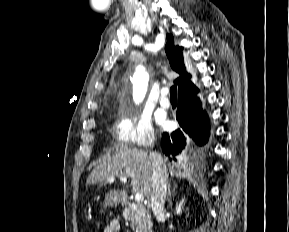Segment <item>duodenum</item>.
<instances>
[{
	"label": "duodenum",
	"instance_id": "410a0bca",
	"mask_svg": "<svg viewBox=\"0 0 289 232\" xmlns=\"http://www.w3.org/2000/svg\"><path fill=\"white\" fill-rule=\"evenodd\" d=\"M122 201H123V202H126V201H127V199H126L125 197H123V198H122Z\"/></svg>",
	"mask_w": 289,
	"mask_h": 232
}]
</instances>
